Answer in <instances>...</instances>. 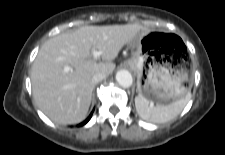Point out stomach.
Masks as SVG:
<instances>
[{
    "label": "stomach",
    "mask_w": 225,
    "mask_h": 155,
    "mask_svg": "<svg viewBox=\"0 0 225 155\" xmlns=\"http://www.w3.org/2000/svg\"><path fill=\"white\" fill-rule=\"evenodd\" d=\"M168 35L158 31L140 33L131 43L130 68L137 74L139 96L151 103L163 104L184 98L192 77L184 62H174L163 49Z\"/></svg>",
    "instance_id": "stomach-1"
}]
</instances>
